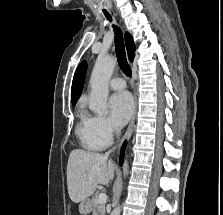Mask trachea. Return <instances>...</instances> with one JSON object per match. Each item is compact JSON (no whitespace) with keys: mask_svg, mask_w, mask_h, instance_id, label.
<instances>
[{"mask_svg":"<svg viewBox=\"0 0 223 215\" xmlns=\"http://www.w3.org/2000/svg\"><path fill=\"white\" fill-rule=\"evenodd\" d=\"M106 18L108 20H111L112 17L109 15V13L106 10H103ZM114 29V43H115V51L116 56L118 60V65L120 66L121 70L128 76H131V68L128 65L127 58H126V52H125V46H124V39H123V33L120 30L119 27L116 25H113Z\"/></svg>","mask_w":223,"mask_h":215,"instance_id":"1","label":"trachea"}]
</instances>
